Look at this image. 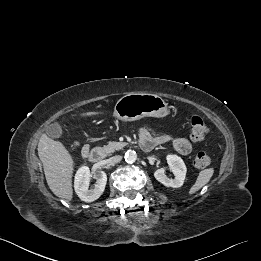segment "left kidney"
Returning a JSON list of instances; mask_svg holds the SVG:
<instances>
[{
  "mask_svg": "<svg viewBox=\"0 0 261 261\" xmlns=\"http://www.w3.org/2000/svg\"><path fill=\"white\" fill-rule=\"evenodd\" d=\"M167 163L170 170L174 173L175 178L174 179L168 178L165 174L164 168H160L156 170L154 173V177L156 178V180H158L166 187H172V188L181 187L184 183L186 172H187V168L185 166L184 161L177 155H168Z\"/></svg>",
  "mask_w": 261,
  "mask_h": 261,
  "instance_id": "5707ae66",
  "label": "left kidney"
}]
</instances>
